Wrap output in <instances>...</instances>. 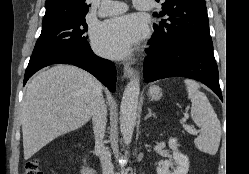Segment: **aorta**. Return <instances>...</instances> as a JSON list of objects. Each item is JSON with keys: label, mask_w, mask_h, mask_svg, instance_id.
I'll return each instance as SVG.
<instances>
[{"label": "aorta", "mask_w": 249, "mask_h": 174, "mask_svg": "<svg viewBox=\"0 0 249 174\" xmlns=\"http://www.w3.org/2000/svg\"><path fill=\"white\" fill-rule=\"evenodd\" d=\"M139 93V79L133 77L124 90L120 107V130L126 145L131 142L136 125Z\"/></svg>", "instance_id": "762f6f07"}]
</instances>
